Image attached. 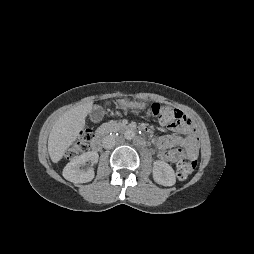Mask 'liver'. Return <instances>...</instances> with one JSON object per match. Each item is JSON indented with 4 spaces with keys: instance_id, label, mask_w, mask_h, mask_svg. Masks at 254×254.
<instances>
[{
    "instance_id": "liver-1",
    "label": "liver",
    "mask_w": 254,
    "mask_h": 254,
    "mask_svg": "<svg viewBox=\"0 0 254 254\" xmlns=\"http://www.w3.org/2000/svg\"><path fill=\"white\" fill-rule=\"evenodd\" d=\"M93 109V103H85L65 112L54 124L48 138V152L52 162L62 159L65 151L77 139L85 119Z\"/></svg>"
}]
</instances>
